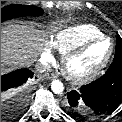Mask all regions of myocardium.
<instances>
[{"instance_id":"obj_1","label":"myocardium","mask_w":122,"mask_h":122,"mask_svg":"<svg viewBox=\"0 0 122 122\" xmlns=\"http://www.w3.org/2000/svg\"><path fill=\"white\" fill-rule=\"evenodd\" d=\"M101 41H108L110 43V49H109V52H108L107 56L105 57V59L97 67H95L92 71H90L87 74L80 75V76L72 74L69 69L70 62L73 59H75L76 57L83 54L88 48H90L94 44L101 42ZM113 53H114V42L110 37L103 35L100 37L90 39V40L80 44L76 48L72 49L68 53L64 54V56L62 58L63 74L73 84H76V85L86 84V83L94 80L107 67V65L109 64V62L113 56Z\"/></svg>"}]
</instances>
